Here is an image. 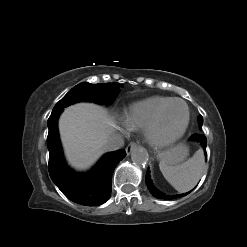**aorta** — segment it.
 I'll return each instance as SVG.
<instances>
[{"label":"aorta","instance_id":"762f6f07","mask_svg":"<svg viewBox=\"0 0 247 247\" xmlns=\"http://www.w3.org/2000/svg\"><path fill=\"white\" fill-rule=\"evenodd\" d=\"M132 161L139 167H144L148 164V154L142 148H136L131 154Z\"/></svg>","mask_w":247,"mask_h":247}]
</instances>
